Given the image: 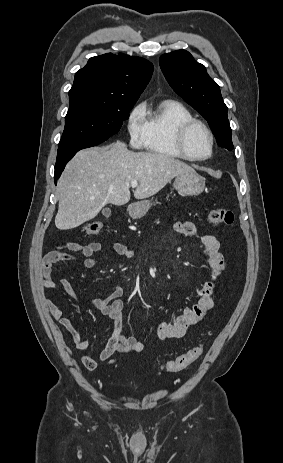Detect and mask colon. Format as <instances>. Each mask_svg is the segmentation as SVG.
I'll use <instances>...</instances> for the list:
<instances>
[{
    "label": "colon",
    "instance_id": "obj_1",
    "mask_svg": "<svg viewBox=\"0 0 283 463\" xmlns=\"http://www.w3.org/2000/svg\"><path fill=\"white\" fill-rule=\"evenodd\" d=\"M209 222L212 224H220L232 227L235 224V216L228 209H212L208 215ZM103 229V223L93 221L84 225L82 231L86 237L98 235ZM203 353V346L198 345L188 350L187 352L177 356L176 358L165 363L162 368L167 372H179L187 369L194 363Z\"/></svg>",
    "mask_w": 283,
    "mask_h": 463
}]
</instances>
